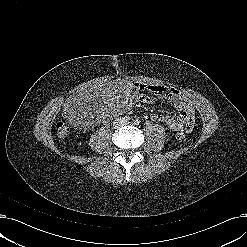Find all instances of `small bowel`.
Returning <instances> with one entry per match:
<instances>
[{"instance_id":"small-bowel-1","label":"small bowel","mask_w":247,"mask_h":247,"mask_svg":"<svg viewBox=\"0 0 247 247\" xmlns=\"http://www.w3.org/2000/svg\"><path fill=\"white\" fill-rule=\"evenodd\" d=\"M140 90H149L162 98L174 102L179 117L173 115H153L152 120L163 123L173 131L191 132L195 124V110L192 104L178 90L162 85H138ZM143 101H148L147 97H142Z\"/></svg>"}]
</instances>
